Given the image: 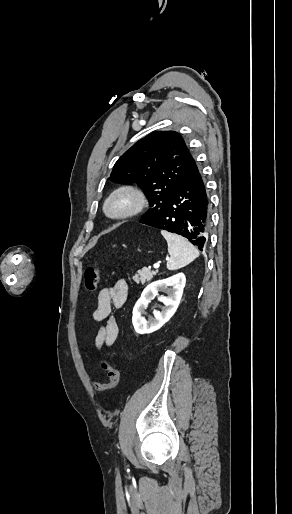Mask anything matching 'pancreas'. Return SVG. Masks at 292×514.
I'll list each match as a JSON object with an SVG mask.
<instances>
[{
	"instance_id": "obj_1",
	"label": "pancreas",
	"mask_w": 292,
	"mask_h": 514,
	"mask_svg": "<svg viewBox=\"0 0 292 514\" xmlns=\"http://www.w3.org/2000/svg\"><path fill=\"white\" fill-rule=\"evenodd\" d=\"M157 272H151L148 268H142V270H138L137 274H135L133 280L136 284H146V282H150L153 276H156Z\"/></svg>"
}]
</instances>
